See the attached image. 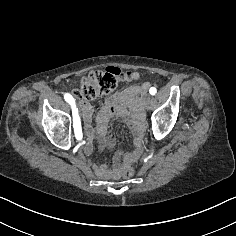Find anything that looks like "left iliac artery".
<instances>
[{"label":"left iliac artery","mask_w":236,"mask_h":236,"mask_svg":"<svg viewBox=\"0 0 236 236\" xmlns=\"http://www.w3.org/2000/svg\"><path fill=\"white\" fill-rule=\"evenodd\" d=\"M149 92H150L151 95H155L156 92H157V90H156V88L151 87L150 90H149Z\"/></svg>","instance_id":"obj_1"}]
</instances>
